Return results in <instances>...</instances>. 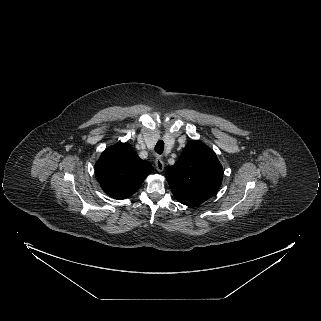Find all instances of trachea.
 Wrapping results in <instances>:
<instances>
[{
	"mask_svg": "<svg viewBox=\"0 0 321 321\" xmlns=\"http://www.w3.org/2000/svg\"><path fill=\"white\" fill-rule=\"evenodd\" d=\"M163 150H164V141L159 140L155 146V151L157 154L161 155L163 153Z\"/></svg>",
	"mask_w": 321,
	"mask_h": 321,
	"instance_id": "1",
	"label": "trachea"
}]
</instances>
